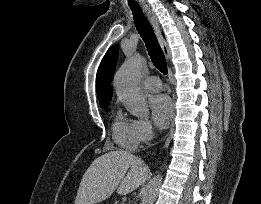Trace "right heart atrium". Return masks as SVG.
I'll use <instances>...</instances> for the list:
<instances>
[{
	"label": "right heart atrium",
	"instance_id": "d8ad5b80",
	"mask_svg": "<svg viewBox=\"0 0 261 204\" xmlns=\"http://www.w3.org/2000/svg\"><path fill=\"white\" fill-rule=\"evenodd\" d=\"M133 133L136 144L147 143L154 137V128L147 119L133 120Z\"/></svg>",
	"mask_w": 261,
	"mask_h": 204
}]
</instances>
